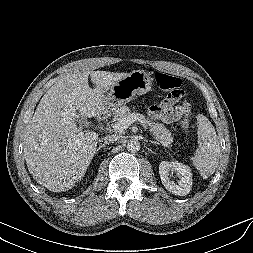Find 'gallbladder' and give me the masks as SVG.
<instances>
[{
    "label": "gallbladder",
    "mask_w": 253,
    "mask_h": 253,
    "mask_svg": "<svg viewBox=\"0 0 253 253\" xmlns=\"http://www.w3.org/2000/svg\"><path fill=\"white\" fill-rule=\"evenodd\" d=\"M78 122L81 124V125H83V126H86V127H88L89 126V122L85 119V118H79L78 119Z\"/></svg>",
    "instance_id": "bac80fb5"
}]
</instances>
